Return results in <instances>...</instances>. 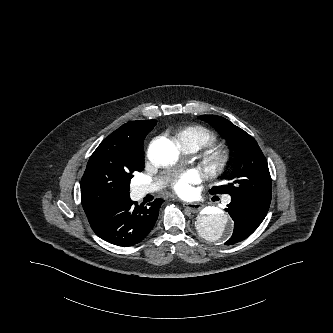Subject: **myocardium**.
<instances>
[{
  "label": "myocardium",
  "mask_w": 333,
  "mask_h": 333,
  "mask_svg": "<svg viewBox=\"0 0 333 333\" xmlns=\"http://www.w3.org/2000/svg\"><path fill=\"white\" fill-rule=\"evenodd\" d=\"M231 160L232 157L229 151L210 152L204 157V163L216 172L227 168Z\"/></svg>",
  "instance_id": "f54148a6"
}]
</instances>
